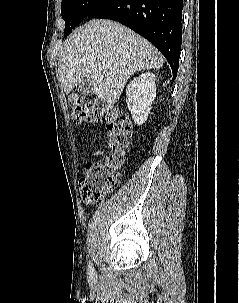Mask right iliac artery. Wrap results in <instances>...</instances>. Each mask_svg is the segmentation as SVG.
I'll return each instance as SVG.
<instances>
[{"mask_svg": "<svg viewBox=\"0 0 239 303\" xmlns=\"http://www.w3.org/2000/svg\"><path fill=\"white\" fill-rule=\"evenodd\" d=\"M88 270H89L90 273H93V272H94V268L92 267V265L89 264Z\"/></svg>", "mask_w": 239, "mask_h": 303, "instance_id": "1", "label": "right iliac artery"}]
</instances>
